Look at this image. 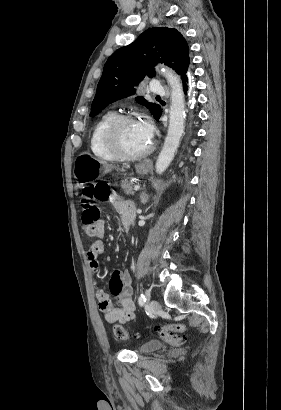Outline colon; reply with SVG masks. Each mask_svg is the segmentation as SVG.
<instances>
[{
    "mask_svg": "<svg viewBox=\"0 0 281 410\" xmlns=\"http://www.w3.org/2000/svg\"><path fill=\"white\" fill-rule=\"evenodd\" d=\"M113 195H115L114 192L105 181H100L94 186H88L83 189L81 195V206L83 208L81 225L88 235L96 233V224L101 215L98 203L110 200ZM156 329L160 337L172 346L180 347L188 342L187 336L178 335L186 330V325L183 323L158 326ZM114 334L121 340L129 338L127 330L120 325L114 327Z\"/></svg>",
    "mask_w": 281,
    "mask_h": 410,
    "instance_id": "1",
    "label": "colon"
}]
</instances>
